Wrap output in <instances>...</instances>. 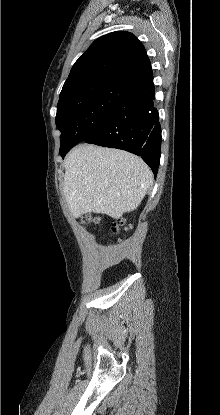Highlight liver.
Returning <instances> with one entry per match:
<instances>
[{"mask_svg":"<svg viewBox=\"0 0 220 415\" xmlns=\"http://www.w3.org/2000/svg\"><path fill=\"white\" fill-rule=\"evenodd\" d=\"M63 194L72 215L105 214L118 219L135 210L152 183V172L126 151L79 145L65 160Z\"/></svg>","mask_w":220,"mask_h":415,"instance_id":"1","label":"liver"}]
</instances>
